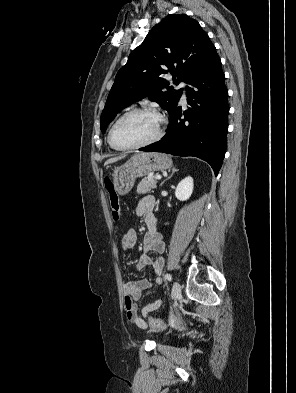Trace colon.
Instances as JSON below:
<instances>
[{
  "mask_svg": "<svg viewBox=\"0 0 296 393\" xmlns=\"http://www.w3.org/2000/svg\"><path fill=\"white\" fill-rule=\"evenodd\" d=\"M104 186H105V189H106V191H107V193L109 195V202H110V208H111L112 216H113V218L115 220H118L119 216H120L119 200H118V196H117V194L115 192L114 184H113L112 180L109 177L105 178ZM148 323L153 328H156V329L163 330V329L167 328V325L164 322H162L159 319H155V318H153L151 316L148 317ZM180 323H181L180 321H173L171 323V326H178Z\"/></svg>",
  "mask_w": 296,
  "mask_h": 393,
  "instance_id": "5ec220e1",
  "label": "colon"
}]
</instances>
